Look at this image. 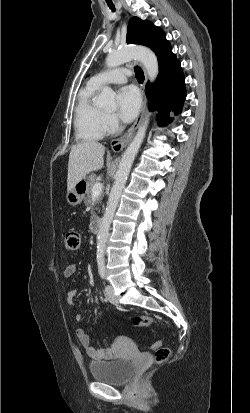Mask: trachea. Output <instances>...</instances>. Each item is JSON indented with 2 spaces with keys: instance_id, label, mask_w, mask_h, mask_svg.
Wrapping results in <instances>:
<instances>
[{
  "instance_id": "trachea-1",
  "label": "trachea",
  "mask_w": 250,
  "mask_h": 413,
  "mask_svg": "<svg viewBox=\"0 0 250 413\" xmlns=\"http://www.w3.org/2000/svg\"><path fill=\"white\" fill-rule=\"evenodd\" d=\"M108 6L113 12L115 11V6L113 4L108 3ZM134 71H135L136 79L138 80V82H143L144 81V73H143L142 69L138 66H135Z\"/></svg>"
}]
</instances>
